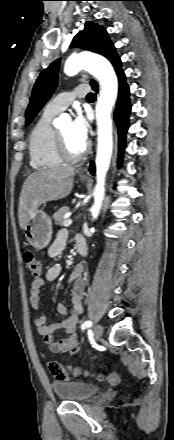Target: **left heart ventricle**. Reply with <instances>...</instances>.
Here are the masks:
<instances>
[{"mask_svg":"<svg viewBox=\"0 0 174 440\" xmlns=\"http://www.w3.org/2000/svg\"><path fill=\"white\" fill-rule=\"evenodd\" d=\"M59 131L62 133L66 141L67 147L72 153H79L83 149L84 144L77 142L72 136L71 122L64 123Z\"/></svg>","mask_w":174,"mask_h":440,"instance_id":"1","label":"left heart ventricle"}]
</instances>
